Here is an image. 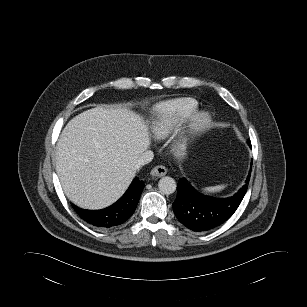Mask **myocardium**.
<instances>
[{
    "label": "myocardium",
    "instance_id": "obj_1",
    "mask_svg": "<svg viewBox=\"0 0 307 307\" xmlns=\"http://www.w3.org/2000/svg\"><path fill=\"white\" fill-rule=\"evenodd\" d=\"M211 124V116L209 113L201 112L196 114L190 122L188 137L183 142L175 145L174 149L178 154H183L187 148V141L190 138L196 137L206 130Z\"/></svg>",
    "mask_w": 307,
    "mask_h": 307
}]
</instances>
